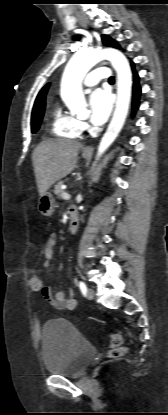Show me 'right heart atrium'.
<instances>
[{
	"label": "right heart atrium",
	"mask_w": 168,
	"mask_h": 415,
	"mask_svg": "<svg viewBox=\"0 0 168 415\" xmlns=\"http://www.w3.org/2000/svg\"><path fill=\"white\" fill-rule=\"evenodd\" d=\"M80 124H81V128H82V129H85V128H86V124H85V123H82V122H81Z\"/></svg>",
	"instance_id": "1"
}]
</instances>
